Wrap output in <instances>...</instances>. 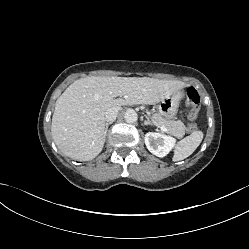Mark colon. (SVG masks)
Masks as SVG:
<instances>
[{"mask_svg":"<svg viewBox=\"0 0 249 249\" xmlns=\"http://www.w3.org/2000/svg\"><path fill=\"white\" fill-rule=\"evenodd\" d=\"M186 105L188 107L187 123L188 131L193 132L196 129L195 119L200 108V96L194 88L186 90Z\"/></svg>","mask_w":249,"mask_h":249,"instance_id":"5ec220e1","label":"colon"}]
</instances>
